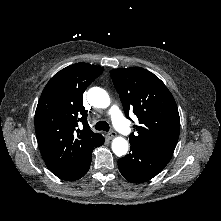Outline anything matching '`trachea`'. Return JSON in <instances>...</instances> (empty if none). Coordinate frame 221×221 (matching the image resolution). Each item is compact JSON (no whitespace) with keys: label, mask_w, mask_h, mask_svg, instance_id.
<instances>
[{"label":"trachea","mask_w":221,"mask_h":221,"mask_svg":"<svg viewBox=\"0 0 221 221\" xmlns=\"http://www.w3.org/2000/svg\"><path fill=\"white\" fill-rule=\"evenodd\" d=\"M95 129H96V130H99V131H100V130H103V131L108 132L109 129H110V127H109V124H108L107 122H105V121H99V122L96 123Z\"/></svg>","instance_id":"trachea-1"}]
</instances>
